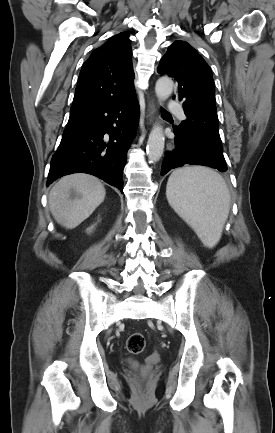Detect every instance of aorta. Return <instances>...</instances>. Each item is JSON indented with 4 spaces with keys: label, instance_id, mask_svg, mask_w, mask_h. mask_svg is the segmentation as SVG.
I'll return each mask as SVG.
<instances>
[{
    "label": "aorta",
    "instance_id": "762f6f07",
    "mask_svg": "<svg viewBox=\"0 0 275 433\" xmlns=\"http://www.w3.org/2000/svg\"><path fill=\"white\" fill-rule=\"evenodd\" d=\"M174 83L169 77H161L157 80L155 93L160 101L166 100L172 93ZM165 137L162 127L155 125L150 132L147 142V154L151 162H157L163 155Z\"/></svg>",
    "mask_w": 275,
    "mask_h": 433
}]
</instances>
